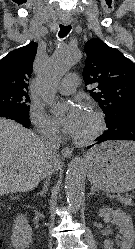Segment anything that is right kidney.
<instances>
[{
    "label": "right kidney",
    "mask_w": 135,
    "mask_h": 249,
    "mask_svg": "<svg viewBox=\"0 0 135 249\" xmlns=\"http://www.w3.org/2000/svg\"><path fill=\"white\" fill-rule=\"evenodd\" d=\"M32 240V228L29 226L27 218L19 215L14 221L12 231V244L15 249H27Z\"/></svg>",
    "instance_id": "obj_1"
}]
</instances>
